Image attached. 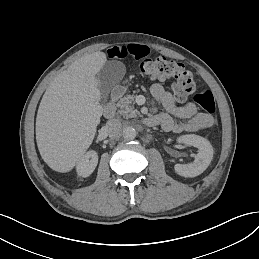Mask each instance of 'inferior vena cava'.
<instances>
[{
	"label": "inferior vena cava",
	"mask_w": 259,
	"mask_h": 259,
	"mask_svg": "<svg viewBox=\"0 0 259 259\" xmlns=\"http://www.w3.org/2000/svg\"><path fill=\"white\" fill-rule=\"evenodd\" d=\"M106 127L110 136L118 137L121 133L122 124L118 119H111L107 121Z\"/></svg>",
	"instance_id": "inferior-vena-cava-1"
}]
</instances>
